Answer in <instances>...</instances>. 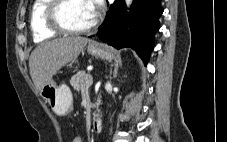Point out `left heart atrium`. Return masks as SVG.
Returning a JSON list of instances; mask_svg holds the SVG:
<instances>
[{
	"label": "left heart atrium",
	"instance_id": "1",
	"mask_svg": "<svg viewBox=\"0 0 227 142\" xmlns=\"http://www.w3.org/2000/svg\"><path fill=\"white\" fill-rule=\"evenodd\" d=\"M91 11L93 12L94 16L96 17L101 6L102 0H87Z\"/></svg>",
	"mask_w": 227,
	"mask_h": 142
}]
</instances>
